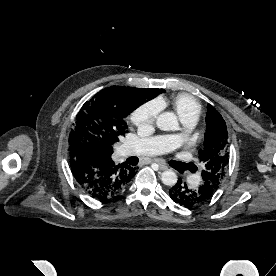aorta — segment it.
<instances>
[{"label":"aorta","mask_w":276,"mask_h":276,"mask_svg":"<svg viewBox=\"0 0 276 276\" xmlns=\"http://www.w3.org/2000/svg\"><path fill=\"white\" fill-rule=\"evenodd\" d=\"M156 125L163 131H176L179 129L177 116L173 112H164L157 117ZM163 184L174 186L177 183V175L173 170H166L161 174Z\"/></svg>","instance_id":"762f6f07"}]
</instances>
